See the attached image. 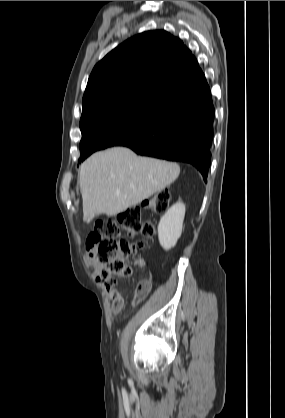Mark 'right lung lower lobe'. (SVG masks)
Masks as SVG:
<instances>
[{"label":"right lung lower lobe","mask_w":285,"mask_h":418,"mask_svg":"<svg viewBox=\"0 0 285 418\" xmlns=\"http://www.w3.org/2000/svg\"><path fill=\"white\" fill-rule=\"evenodd\" d=\"M215 108L207 82L167 106L149 126L116 146L139 155L195 166L206 181L213 140Z\"/></svg>","instance_id":"1"}]
</instances>
